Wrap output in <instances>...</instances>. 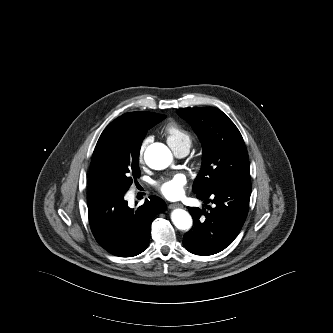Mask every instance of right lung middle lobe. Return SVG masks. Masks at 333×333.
<instances>
[{"label": "right lung middle lobe", "instance_id": "obj_1", "mask_svg": "<svg viewBox=\"0 0 333 333\" xmlns=\"http://www.w3.org/2000/svg\"><path fill=\"white\" fill-rule=\"evenodd\" d=\"M165 116L156 118L140 127L130 137L117 138L102 133L95 147L90 173L93 181L102 192H126L133 178H139V153L147 130L162 121Z\"/></svg>", "mask_w": 333, "mask_h": 333}]
</instances>
